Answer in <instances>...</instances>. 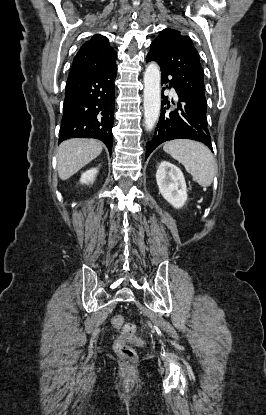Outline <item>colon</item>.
<instances>
[{
    "label": "colon",
    "instance_id": "5ec220e1",
    "mask_svg": "<svg viewBox=\"0 0 266 415\" xmlns=\"http://www.w3.org/2000/svg\"><path fill=\"white\" fill-rule=\"evenodd\" d=\"M111 325L122 332L123 335H130L135 332V325L125 321L124 317L115 314L111 318ZM117 355L126 361H135L137 358L135 350L130 347L123 337H119L114 344Z\"/></svg>",
    "mask_w": 266,
    "mask_h": 415
}]
</instances>
